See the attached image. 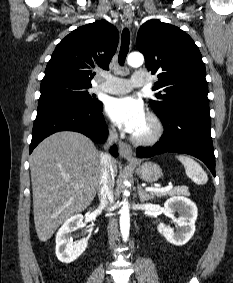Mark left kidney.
<instances>
[{"label":"left kidney","instance_id":"5707ae66","mask_svg":"<svg viewBox=\"0 0 233 283\" xmlns=\"http://www.w3.org/2000/svg\"><path fill=\"white\" fill-rule=\"evenodd\" d=\"M164 208L171 215L178 212L179 217L176 220L178 228L174 232L172 228L160 223L158 231L168 242L176 246L186 244L195 232V221L198 214L196 205L190 199L178 196L168 199L164 204Z\"/></svg>","mask_w":233,"mask_h":283}]
</instances>
